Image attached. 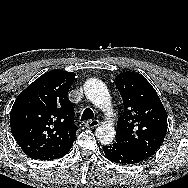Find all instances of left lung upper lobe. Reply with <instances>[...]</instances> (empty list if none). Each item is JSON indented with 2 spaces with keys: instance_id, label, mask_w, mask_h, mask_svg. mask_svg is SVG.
Masks as SVG:
<instances>
[{
  "instance_id": "1",
  "label": "left lung upper lobe",
  "mask_w": 188,
  "mask_h": 188,
  "mask_svg": "<svg viewBox=\"0 0 188 188\" xmlns=\"http://www.w3.org/2000/svg\"><path fill=\"white\" fill-rule=\"evenodd\" d=\"M115 85L124 106L117 122L115 143L151 157L167 132L165 108L152 85L135 72L119 74Z\"/></svg>"
}]
</instances>
